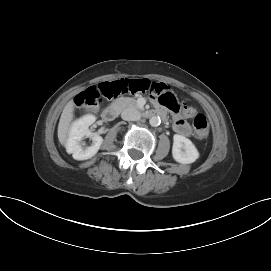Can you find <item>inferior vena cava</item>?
<instances>
[{"label": "inferior vena cava", "instance_id": "inferior-vena-cava-1", "mask_svg": "<svg viewBox=\"0 0 271 271\" xmlns=\"http://www.w3.org/2000/svg\"><path fill=\"white\" fill-rule=\"evenodd\" d=\"M121 117L126 121H137L141 118V114L137 109L130 107L122 111Z\"/></svg>", "mask_w": 271, "mask_h": 271}]
</instances>
